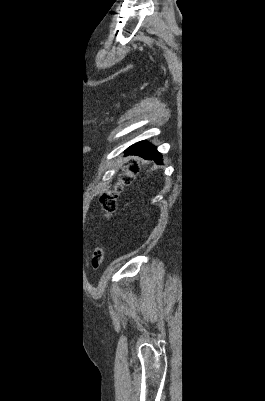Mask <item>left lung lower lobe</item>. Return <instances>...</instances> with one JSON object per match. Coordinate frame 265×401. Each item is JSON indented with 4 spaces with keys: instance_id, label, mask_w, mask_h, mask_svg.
Instances as JSON below:
<instances>
[{
    "instance_id": "left-lung-lower-lobe-1",
    "label": "left lung lower lobe",
    "mask_w": 265,
    "mask_h": 401,
    "mask_svg": "<svg viewBox=\"0 0 265 401\" xmlns=\"http://www.w3.org/2000/svg\"><path fill=\"white\" fill-rule=\"evenodd\" d=\"M126 154L139 155L144 159L154 160L157 164H161V154L157 152L156 148L146 141L138 142L130 146L126 151Z\"/></svg>"
}]
</instances>
